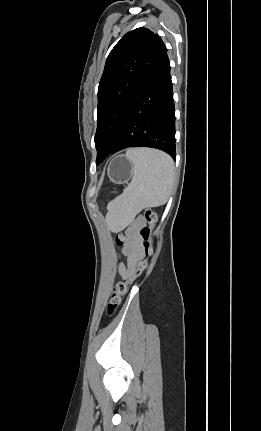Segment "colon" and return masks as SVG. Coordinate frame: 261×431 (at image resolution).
Masks as SVG:
<instances>
[{
	"instance_id": "1",
	"label": "colon",
	"mask_w": 261,
	"mask_h": 431,
	"mask_svg": "<svg viewBox=\"0 0 261 431\" xmlns=\"http://www.w3.org/2000/svg\"><path fill=\"white\" fill-rule=\"evenodd\" d=\"M143 218L148 223V226L143 227L140 231L141 238L143 239L142 256L135 265L134 272L125 280L118 282L112 289L107 307L109 313H112L119 305L121 298L128 292L132 282L147 269L148 260L154 254L153 234L157 215L152 209L147 208L143 211ZM123 240V235H118L116 238V242L119 245L123 243Z\"/></svg>"
}]
</instances>
